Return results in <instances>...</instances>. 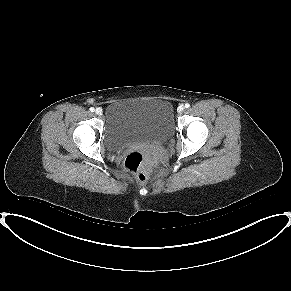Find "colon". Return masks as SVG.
Wrapping results in <instances>:
<instances>
[{
	"label": "colon",
	"instance_id": "5ec220e1",
	"mask_svg": "<svg viewBox=\"0 0 291 291\" xmlns=\"http://www.w3.org/2000/svg\"><path fill=\"white\" fill-rule=\"evenodd\" d=\"M146 158V151L137 149L130 152L125 159V168L127 172L142 183H146L149 179L145 170Z\"/></svg>",
	"mask_w": 291,
	"mask_h": 291
}]
</instances>
